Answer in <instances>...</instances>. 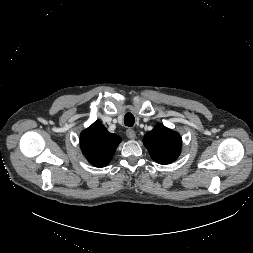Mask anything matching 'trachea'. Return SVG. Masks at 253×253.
Listing matches in <instances>:
<instances>
[{"mask_svg": "<svg viewBox=\"0 0 253 253\" xmlns=\"http://www.w3.org/2000/svg\"><path fill=\"white\" fill-rule=\"evenodd\" d=\"M134 122H135V118H134L133 114L126 113L125 117H124L125 125L128 127H132L134 125Z\"/></svg>", "mask_w": 253, "mask_h": 253, "instance_id": "1", "label": "trachea"}]
</instances>
